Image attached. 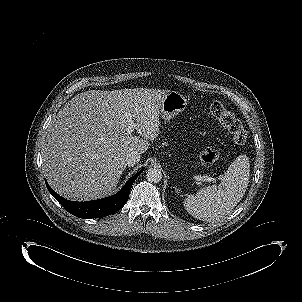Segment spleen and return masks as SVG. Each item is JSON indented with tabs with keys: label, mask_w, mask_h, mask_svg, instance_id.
I'll return each mask as SVG.
<instances>
[{
	"label": "spleen",
	"mask_w": 302,
	"mask_h": 302,
	"mask_svg": "<svg viewBox=\"0 0 302 302\" xmlns=\"http://www.w3.org/2000/svg\"><path fill=\"white\" fill-rule=\"evenodd\" d=\"M249 161L239 156L231 163L218 185L199 190L184 200L187 212L199 220L211 222L229 213L242 199L249 182Z\"/></svg>",
	"instance_id": "spleen-1"
}]
</instances>
